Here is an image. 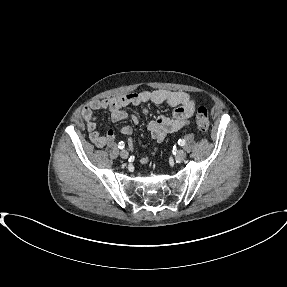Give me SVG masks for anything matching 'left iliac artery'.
<instances>
[{"label":"left iliac artery","instance_id":"obj_1","mask_svg":"<svg viewBox=\"0 0 287 287\" xmlns=\"http://www.w3.org/2000/svg\"><path fill=\"white\" fill-rule=\"evenodd\" d=\"M178 144H179L180 146H184V145H185V140H184V139H179V140H178Z\"/></svg>","mask_w":287,"mask_h":287}]
</instances>
